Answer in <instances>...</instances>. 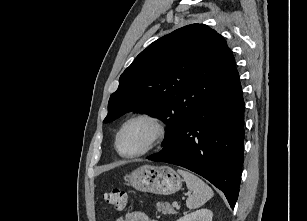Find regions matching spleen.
Returning a JSON list of instances; mask_svg holds the SVG:
<instances>
[{
    "label": "spleen",
    "instance_id": "spleen-1",
    "mask_svg": "<svg viewBox=\"0 0 307 221\" xmlns=\"http://www.w3.org/2000/svg\"><path fill=\"white\" fill-rule=\"evenodd\" d=\"M177 172L184 178L187 188L192 192L186 200L189 209L199 208L213 197V190L199 177L182 169Z\"/></svg>",
    "mask_w": 307,
    "mask_h": 221
}]
</instances>
